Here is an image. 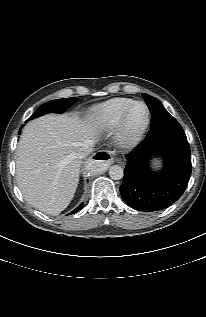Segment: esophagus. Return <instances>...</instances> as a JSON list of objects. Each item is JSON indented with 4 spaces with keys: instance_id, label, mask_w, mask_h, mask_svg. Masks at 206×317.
Wrapping results in <instances>:
<instances>
[{
    "instance_id": "esophagus-1",
    "label": "esophagus",
    "mask_w": 206,
    "mask_h": 317,
    "mask_svg": "<svg viewBox=\"0 0 206 317\" xmlns=\"http://www.w3.org/2000/svg\"><path fill=\"white\" fill-rule=\"evenodd\" d=\"M113 154H114V151L110 149L97 151L94 154L93 162H97L108 167L113 163V160H114Z\"/></svg>"
}]
</instances>
